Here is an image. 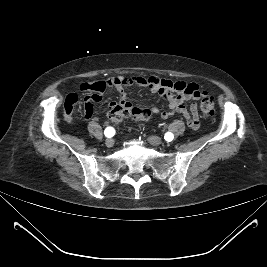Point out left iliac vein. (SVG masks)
<instances>
[{
  "instance_id": "4c4485c4",
  "label": "left iliac vein",
  "mask_w": 267,
  "mask_h": 267,
  "mask_svg": "<svg viewBox=\"0 0 267 267\" xmlns=\"http://www.w3.org/2000/svg\"><path fill=\"white\" fill-rule=\"evenodd\" d=\"M148 141L153 146H160L163 144L162 140L157 136H149Z\"/></svg>"
}]
</instances>
